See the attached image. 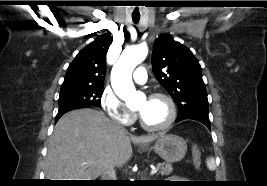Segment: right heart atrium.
I'll return each instance as SVG.
<instances>
[{"label":"right heart atrium","instance_id":"obj_1","mask_svg":"<svg viewBox=\"0 0 267 186\" xmlns=\"http://www.w3.org/2000/svg\"><path fill=\"white\" fill-rule=\"evenodd\" d=\"M101 106L108 116L115 122L129 126L133 123L135 115L120 100L117 94L109 87H106L100 97Z\"/></svg>","mask_w":267,"mask_h":186}]
</instances>
